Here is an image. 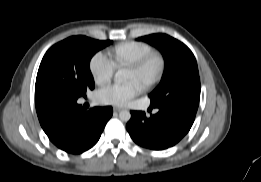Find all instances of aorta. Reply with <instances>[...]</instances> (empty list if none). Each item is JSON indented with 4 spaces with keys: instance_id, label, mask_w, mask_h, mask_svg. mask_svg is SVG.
<instances>
[{
    "instance_id": "aorta-1",
    "label": "aorta",
    "mask_w": 261,
    "mask_h": 182,
    "mask_svg": "<svg viewBox=\"0 0 261 182\" xmlns=\"http://www.w3.org/2000/svg\"><path fill=\"white\" fill-rule=\"evenodd\" d=\"M126 76V71L124 69L118 70L114 77H115V81L117 83H121L124 78ZM131 118V113L128 110H122L119 113V119L123 122H128Z\"/></svg>"
}]
</instances>
